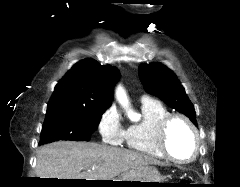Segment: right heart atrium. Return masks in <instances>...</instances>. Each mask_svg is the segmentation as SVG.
<instances>
[{
	"label": "right heart atrium",
	"mask_w": 240,
	"mask_h": 187,
	"mask_svg": "<svg viewBox=\"0 0 240 187\" xmlns=\"http://www.w3.org/2000/svg\"><path fill=\"white\" fill-rule=\"evenodd\" d=\"M97 129L101 140L106 144L120 145L125 139V129L121 124L119 112L114 106L103 112Z\"/></svg>",
	"instance_id": "obj_1"
}]
</instances>
